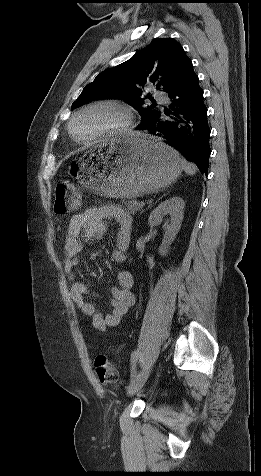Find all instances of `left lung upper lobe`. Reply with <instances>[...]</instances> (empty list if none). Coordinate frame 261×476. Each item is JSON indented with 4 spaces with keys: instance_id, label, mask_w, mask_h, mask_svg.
I'll return each mask as SVG.
<instances>
[{
    "instance_id": "1",
    "label": "left lung upper lobe",
    "mask_w": 261,
    "mask_h": 476,
    "mask_svg": "<svg viewBox=\"0 0 261 476\" xmlns=\"http://www.w3.org/2000/svg\"><path fill=\"white\" fill-rule=\"evenodd\" d=\"M191 65V60L177 41L172 38L154 39L128 61L99 73L92 83L85 86L72 107L97 99H122L141 114L140 128L160 113L154 105L142 106L143 88L153 83L157 89L169 94L180 84Z\"/></svg>"
}]
</instances>
